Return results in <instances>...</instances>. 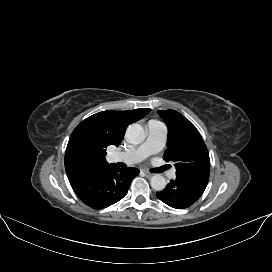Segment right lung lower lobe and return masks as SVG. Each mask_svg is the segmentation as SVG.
<instances>
[{"mask_svg":"<svg viewBox=\"0 0 272 272\" xmlns=\"http://www.w3.org/2000/svg\"><path fill=\"white\" fill-rule=\"evenodd\" d=\"M138 173L137 168L120 169L111 164L94 174L73 179L70 184L83 203L102 209L121 200Z\"/></svg>","mask_w":272,"mask_h":272,"instance_id":"right-lung-lower-lobe-1","label":"right lung lower lobe"}]
</instances>
